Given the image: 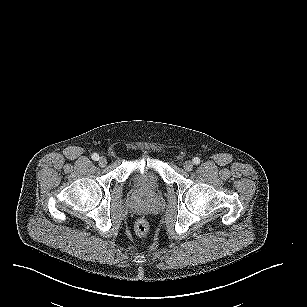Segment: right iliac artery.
<instances>
[{
    "label": "right iliac artery",
    "instance_id": "1",
    "mask_svg": "<svg viewBox=\"0 0 307 307\" xmlns=\"http://www.w3.org/2000/svg\"><path fill=\"white\" fill-rule=\"evenodd\" d=\"M92 159H93L94 161H98V160H99V155H98L97 153H94V154L92 155Z\"/></svg>",
    "mask_w": 307,
    "mask_h": 307
}]
</instances>
